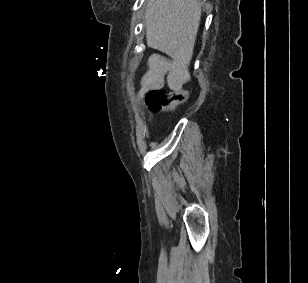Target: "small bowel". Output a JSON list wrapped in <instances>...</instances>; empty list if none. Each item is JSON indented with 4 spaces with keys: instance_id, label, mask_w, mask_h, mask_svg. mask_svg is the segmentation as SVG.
<instances>
[{
    "instance_id": "c3829d8e",
    "label": "small bowel",
    "mask_w": 308,
    "mask_h": 283,
    "mask_svg": "<svg viewBox=\"0 0 308 283\" xmlns=\"http://www.w3.org/2000/svg\"><path fill=\"white\" fill-rule=\"evenodd\" d=\"M182 72L181 66L168 58H151L147 71L141 77L138 97L143 99L148 91L160 90L164 86L166 76L175 77Z\"/></svg>"
}]
</instances>
